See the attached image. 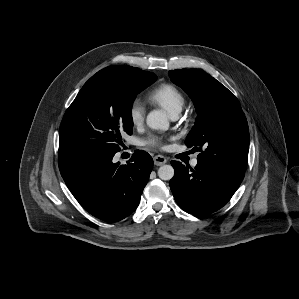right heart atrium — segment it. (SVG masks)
<instances>
[{
    "mask_svg": "<svg viewBox=\"0 0 299 299\" xmlns=\"http://www.w3.org/2000/svg\"><path fill=\"white\" fill-rule=\"evenodd\" d=\"M145 106L139 99H133L128 107V118L134 127H140L145 120Z\"/></svg>",
    "mask_w": 299,
    "mask_h": 299,
    "instance_id": "right-heart-atrium-1",
    "label": "right heart atrium"
}]
</instances>
